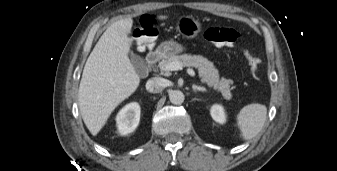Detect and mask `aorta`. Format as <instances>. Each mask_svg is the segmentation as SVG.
Wrapping results in <instances>:
<instances>
[{
    "mask_svg": "<svg viewBox=\"0 0 337 171\" xmlns=\"http://www.w3.org/2000/svg\"><path fill=\"white\" fill-rule=\"evenodd\" d=\"M185 96L180 90H173L169 93V100L172 104L180 105L184 102Z\"/></svg>",
    "mask_w": 337,
    "mask_h": 171,
    "instance_id": "1",
    "label": "aorta"
}]
</instances>
